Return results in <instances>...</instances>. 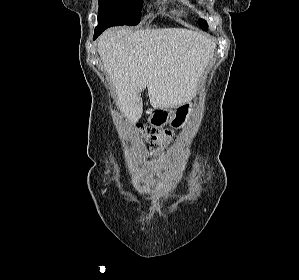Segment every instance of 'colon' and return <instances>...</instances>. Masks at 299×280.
<instances>
[{
  "label": "colon",
  "mask_w": 299,
  "mask_h": 280,
  "mask_svg": "<svg viewBox=\"0 0 299 280\" xmlns=\"http://www.w3.org/2000/svg\"><path fill=\"white\" fill-rule=\"evenodd\" d=\"M139 129L145 131L151 146L156 150L162 149L171 136L169 131H161L155 128L144 129L142 127Z\"/></svg>",
  "instance_id": "5ec220e1"
}]
</instances>
